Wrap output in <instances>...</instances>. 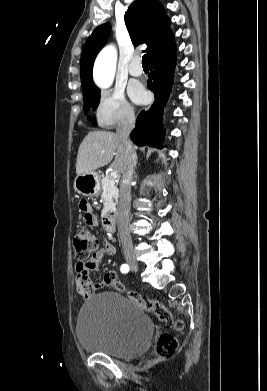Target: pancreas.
I'll use <instances>...</instances> for the list:
<instances>
[{
	"mask_svg": "<svg viewBox=\"0 0 267 391\" xmlns=\"http://www.w3.org/2000/svg\"><path fill=\"white\" fill-rule=\"evenodd\" d=\"M100 183L103 190L104 197L110 198L113 202H117L118 198V188H117V182L116 179L112 178L110 175L108 176H100ZM114 206V203L113 205Z\"/></svg>",
	"mask_w": 267,
	"mask_h": 391,
	"instance_id": "1",
	"label": "pancreas"
}]
</instances>
